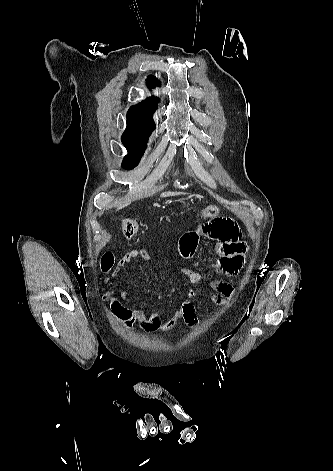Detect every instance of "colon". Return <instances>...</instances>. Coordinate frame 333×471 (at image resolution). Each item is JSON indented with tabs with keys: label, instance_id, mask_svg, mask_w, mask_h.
<instances>
[{
	"label": "colon",
	"instance_id": "1",
	"mask_svg": "<svg viewBox=\"0 0 333 471\" xmlns=\"http://www.w3.org/2000/svg\"><path fill=\"white\" fill-rule=\"evenodd\" d=\"M203 215L206 217H215L220 214V209L217 206H207L202 211ZM122 232L126 239L134 238L138 233V225L134 219L126 218L122 220ZM114 262L113 255L111 253H106L101 259V267L103 271H108Z\"/></svg>",
	"mask_w": 333,
	"mask_h": 471
}]
</instances>
